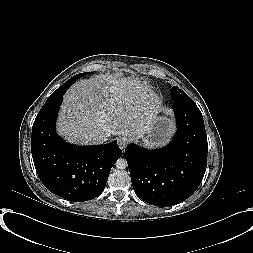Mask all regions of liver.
Instances as JSON below:
<instances>
[{
    "label": "liver",
    "instance_id": "obj_1",
    "mask_svg": "<svg viewBox=\"0 0 253 253\" xmlns=\"http://www.w3.org/2000/svg\"><path fill=\"white\" fill-rule=\"evenodd\" d=\"M157 98L138 78L95 76L73 84L64 96L57 123L69 142L98 144L102 135L142 139L150 130Z\"/></svg>",
    "mask_w": 253,
    "mask_h": 253
}]
</instances>
